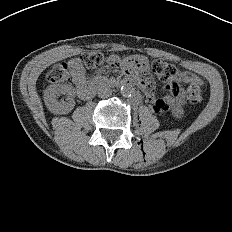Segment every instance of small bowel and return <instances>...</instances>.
I'll use <instances>...</instances> for the list:
<instances>
[{
    "instance_id": "obj_1",
    "label": "small bowel",
    "mask_w": 232,
    "mask_h": 232,
    "mask_svg": "<svg viewBox=\"0 0 232 232\" xmlns=\"http://www.w3.org/2000/svg\"><path fill=\"white\" fill-rule=\"evenodd\" d=\"M106 68L108 70L127 69L134 73L135 77L141 81L140 86L145 90L148 101L152 104L155 112H162L168 109L172 102L183 103L185 100L186 89L181 88L182 84H197L202 86V80L195 74L185 71H179L166 85V90L171 93V96L155 99L153 94L154 82L150 78V60L142 58L138 54H134L129 58H118L117 56H109L106 61ZM69 69L73 76V82L77 90L86 84V75L82 65L78 60H71L69 62Z\"/></svg>"
}]
</instances>
